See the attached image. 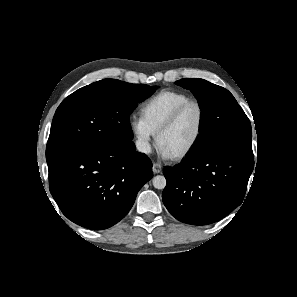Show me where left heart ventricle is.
Here are the masks:
<instances>
[{"label":"left heart ventricle","instance_id":"1","mask_svg":"<svg viewBox=\"0 0 297 297\" xmlns=\"http://www.w3.org/2000/svg\"><path fill=\"white\" fill-rule=\"evenodd\" d=\"M200 115L195 105L188 106L175 125L164 133L159 141L172 155L187 148L195 138L199 127Z\"/></svg>","mask_w":297,"mask_h":297}]
</instances>
